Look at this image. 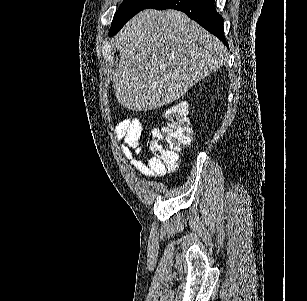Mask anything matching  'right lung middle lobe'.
I'll use <instances>...</instances> for the list:
<instances>
[{
	"label": "right lung middle lobe",
	"mask_w": 307,
	"mask_h": 301,
	"mask_svg": "<svg viewBox=\"0 0 307 301\" xmlns=\"http://www.w3.org/2000/svg\"><path fill=\"white\" fill-rule=\"evenodd\" d=\"M157 1L158 0H124L114 15L109 36L115 35L130 18L138 12L149 8Z\"/></svg>",
	"instance_id": "right-lung-middle-lobe-1"
}]
</instances>
